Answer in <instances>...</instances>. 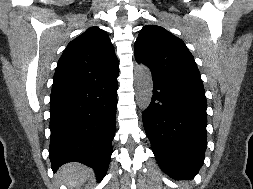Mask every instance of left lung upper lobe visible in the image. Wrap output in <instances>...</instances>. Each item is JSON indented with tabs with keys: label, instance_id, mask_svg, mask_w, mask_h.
I'll return each instance as SVG.
<instances>
[{
	"label": "left lung upper lobe",
	"instance_id": "1",
	"mask_svg": "<svg viewBox=\"0 0 253 189\" xmlns=\"http://www.w3.org/2000/svg\"><path fill=\"white\" fill-rule=\"evenodd\" d=\"M134 51L136 61L151 70L153 80L205 94L194 57L180 38L163 27L144 26L135 42Z\"/></svg>",
	"mask_w": 253,
	"mask_h": 189
}]
</instances>
